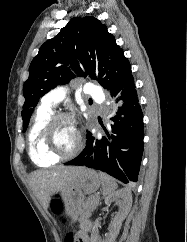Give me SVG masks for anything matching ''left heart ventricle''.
<instances>
[{
    "instance_id": "left-heart-ventricle-1",
    "label": "left heart ventricle",
    "mask_w": 187,
    "mask_h": 242,
    "mask_svg": "<svg viewBox=\"0 0 187 242\" xmlns=\"http://www.w3.org/2000/svg\"><path fill=\"white\" fill-rule=\"evenodd\" d=\"M77 143V132L75 126L68 121H60L54 128L52 134V146L59 152L71 151Z\"/></svg>"
}]
</instances>
